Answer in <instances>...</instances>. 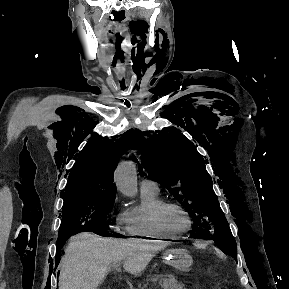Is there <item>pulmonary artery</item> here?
<instances>
[{"instance_id": "1", "label": "pulmonary artery", "mask_w": 289, "mask_h": 289, "mask_svg": "<svg viewBox=\"0 0 289 289\" xmlns=\"http://www.w3.org/2000/svg\"><path fill=\"white\" fill-rule=\"evenodd\" d=\"M141 190L145 191H159L158 183L152 179L144 178L140 183Z\"/></svg>"}]
</instances>
